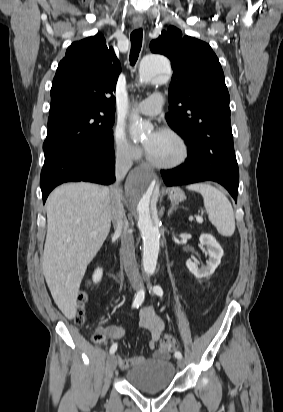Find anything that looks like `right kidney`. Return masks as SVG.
<instances>
[{
  "label": "right kidney",
  "instance_id": "right-kidney-1",
  "mask_svg": "<svg viewBox=\"0 0 283 412\" xmlns=\"http://www.w3.org/2000/svg\"><path fill=\"white\" fill-rule=\"evenodd\" d=\"M103 275V270L101 268H97L93 274V282L96 284L101 281Z\"/></svg>",
  "mask_w": 283,
  "mask_h": 412
}]
</instances>
